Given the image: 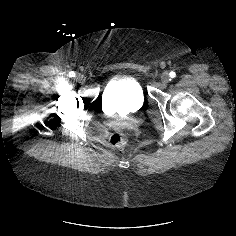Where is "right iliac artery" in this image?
I'll list each match as a JSON object with an SVG mask.
<instances>
[{"label":"right iliac artery","mask_w":236,"mask_h":236,"mask_svg":"<svg viewBox=\"0 0 236 236\" xmlns=\"http://www.w3.org/2000/svg\"><path fill=\"white\" fill-rule=\"evenodd\" d=\"M69 77H75V72L74 71L69 72Z\"/></svg>","instance_id":"1"}]
</instances>
